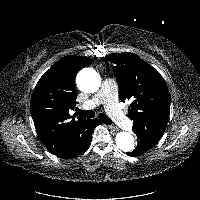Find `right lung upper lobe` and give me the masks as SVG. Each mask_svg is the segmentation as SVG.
I'll return each instance as SVG.
<instances>
[{
	"mask_svg": "<svg viewBox=\"0 0 200 200\" xmlns=\"http://www.w3.org/2000/svg\"><path fill=\"white\" fill-rule=\"evenodd\" d=\"M92 59L65 56L55 63L38 81L31 98V115L37 134L53 154L68 148L76 133L87 121L70 116L77 104L75 77Z\"/></svg>",
	"mask_w": 200,
	"mask_h": 200,
	"instance_id": "obj_1",
	"label": "right lung upper lobe"
}]
</instances>
